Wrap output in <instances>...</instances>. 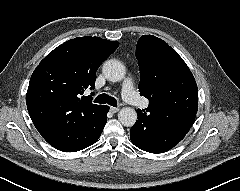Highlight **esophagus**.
I'll return each instance as SVG.
<instances>
[{
  "instance_id": "obj_1",
  "label": "esophagus",
  "mask_w": 240,
  "mask_h": 191,
  "mask_svg": "<svg viewBox=\"0 0 240 191\" xmlns=\"http://www.w3.org/2000/svg\"><path fill=\"white\" fill-rule=\"evenodd\" d=\"M119 110H120L119 107H110V111H111L112 113H116V112H118Z\"/></svg>"
}]
</instances>
